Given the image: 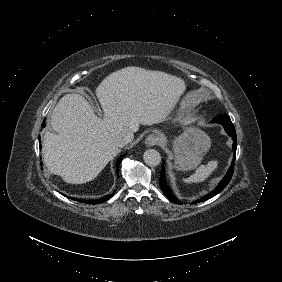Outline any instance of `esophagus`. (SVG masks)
Wrapping results in <instances>:
<instances>
[{"instance_id":"obj_1","label":"esophagus","mask_w":282,"mask_h":282,"mask_svg":"<svg viewBox=\"0 0 282 282\" xmlns=\"http://www.w3.org/2000/svg\"><path fill=\"white\" fill-rule=\"evenodd\" d=\"M158 142V137L155 135H149L146 139H145V144L147 146H154L156 145Z\"/></svg>"}]
</instances>
